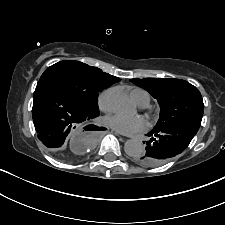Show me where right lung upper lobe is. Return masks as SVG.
<instances>
[{
	"label": "right lung upper lobe",
	"mask_w": 225,
	"mask_h": 225,
	"mask_svg": "<svg viewBox=\"0 0 225 225\" xmlns=\"http://www.w3.org/2000/svg\"><path fill=\"white\" fill-rule=\"evenodd\" d=\"M94 70L104 79L108 80L109 82H111L112 84L117 83L120 81L119 78L112 76L110 74L104 73L101 69H98L96 67H94Z\"/></svg>",
	"instance_id": "cb5924a9"
}]
</instances>
